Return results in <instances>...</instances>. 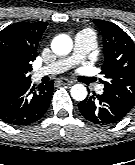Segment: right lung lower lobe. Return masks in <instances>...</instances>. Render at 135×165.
Masks as SVG:
<instances>
[{"mask_svg":"<svg viewBox=\"0 0 135 165\" xmlns=\"http://www.w3.org/2000/svg\"><path fill=\"white\" fill-rule=\"evenodd\" d=\"M53 81L38 87L27 81L0 82V117L7 123L29 124L40 119L49 107Z\"/></svg>","mask_w":135,"mask_h":165,"instance_id":"right-lung-lower-lobe-1","label":"right lung lower lobe"}]
</instances>
